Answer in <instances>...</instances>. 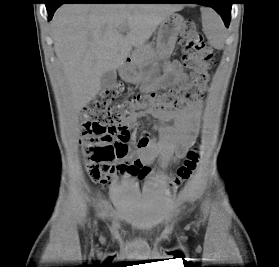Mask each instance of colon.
I'll use <instances>...</instances> for the list:
<instances>
[{
  "label": "colon",
  "mask_w": 279,
  "mask_h": 267,
  "mask_svg": "<svg viewBox=\"0 0 279 267\" xmlns=\"http://www.w3.org/2000/svg\"><path fill=\"white\" fill-rule=\"evenodd\" d=\"M180 44L183 48V65L190 70V81L177 87L147 94H135L118 100L124 92L120 83L103 90L80 115L83 129L81 146L89 176L97 182L124 171L138 173L142 166L138 161L115 163L128 153L130 129L128 118L144 110H177L195 102L203 94L209 81L206 72L213 62V51L206 44L203 34L191 20L182 24ZM115 139V140H114ZM199 152L192 149L177 169L171 188L177 189L195 171Z\"/></svg>",
  "instance_id": "colon-1"
}]
</instances>
